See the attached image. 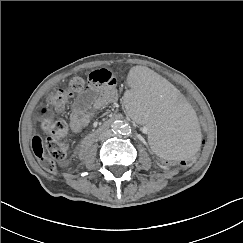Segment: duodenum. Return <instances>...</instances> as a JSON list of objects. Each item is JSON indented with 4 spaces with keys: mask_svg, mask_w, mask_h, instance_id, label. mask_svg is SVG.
<instances>
[{
    "mask_svg": "<svg viewBox=\"0 0 243 243\" xmlns=\"http://www.w3.org/2000/svg\"><path fill=\"white\" fill-rule=\"evenodd\" d=\"M122 117L121 116H114L110 119H108L107 121H105L102 125H100L99 127H97L96 129H94L91 133H89L81 142L80 146H79V150L81 153H86L91 144L93 143V141L103 132L107 131L110 129L111 125L118 121L121 120Z\"/></svg>",
    "mask_w": 243,
    "mask_h": 243,
    "instance_id": "1",
    "label": "duodenum"
}]
</instances>
